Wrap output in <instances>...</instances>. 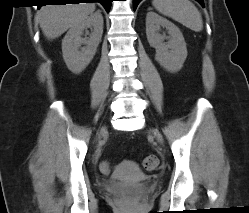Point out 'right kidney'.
<instances>
[{
  "label": "right kidney",
  "instance_id": "obj_1",
  "mask_svg": "<svg viewBox=\"0 0 249 213\" xmlns=\"http://www.w3.org/2000/svg\"><path fill=\"white\" fill-rule=\"evenodd\" d=\"M92 29L88 38H82L83 31ZM103 34V17L96 11L72 26L62 40L63 59L70 71L81 73L93 59ZM85 46L80 48L81 45Z\"/></svg>",
  "mask_w": 249,
  "mask_h": 213
}]
</instances>
